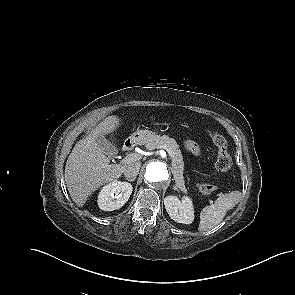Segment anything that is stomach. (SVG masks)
I'll use <instances>...</instances> for the list:
<instances>
[{
  "mask_svg": "<svg viewBox=\"0 0 295 295\" xmlns=\"http://www.w3.org/2000/svg\"><path fill=\"white\" fill-rule=\"evenodd\" d=\"M157 134L150 130H139L130 136V140L138 144H146L153 140Z\"/></svg>",
  "mask_w": 295,
  "mask_h": 295,
  "instance_id": "1",
  "label": "stomach"
}]
</instances>
